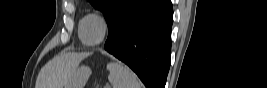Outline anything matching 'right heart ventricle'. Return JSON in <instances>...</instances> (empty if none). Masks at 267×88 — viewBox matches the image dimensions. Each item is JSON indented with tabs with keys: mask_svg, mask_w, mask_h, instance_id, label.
Segmentation results:
<instances>
[{
	"mask_svg": "<svg viewBox=\"0 0 267 88\" xmlns=\"http://www.w3.org/2000/svg\"><path fill=\"white\" fill-rule=\"evenodd\" d=\"M87 16H88V15L84 16V17L80 20V22H79L78 34H79V37H80L81 41H82V38H81V30H82V26H83V23H84V21H85V18H86ZM82 42H83V41H82Z\"/></svg>",
	"mask_w": 267,
	"mask_h": 88,
	"instance_id": "1",
	"label": "right heart ventricle"
}]
</instances>
